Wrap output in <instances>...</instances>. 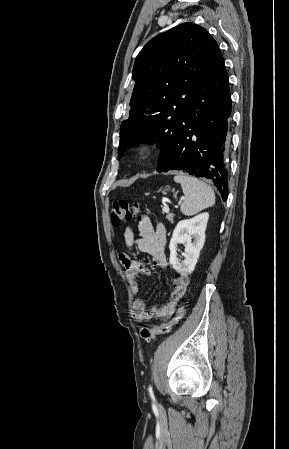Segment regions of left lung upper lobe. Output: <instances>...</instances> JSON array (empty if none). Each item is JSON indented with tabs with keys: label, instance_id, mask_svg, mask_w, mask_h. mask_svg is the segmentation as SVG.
Wrapping results in <instances>:
<instances>
[{
	"label": "left lung upper lobe",
	"instance_id": "left-lung-upper-lobe-1",
	"mask_svg": "<svg viewBox=\"0 0 289 449\" xmlns=\"http://www.w3.org/2000/svg\"><path fill=\"white\" fill-rule=\"evenodd\" d=\"M218 44L201 26L183 23L150 40L138 54L129 118L120 126L118 157L126 147L157 143L167 155L176 125L189 108Z\"/></svg>",
	"mask_w": 289,
	"mask_h": 449
}]
</instances>
